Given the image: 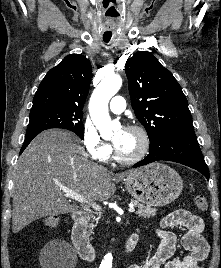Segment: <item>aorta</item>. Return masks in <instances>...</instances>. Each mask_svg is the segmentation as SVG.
I'll return each mask as SVG.
<instances>
[{
	"instance_id": "1",
	"label": "aorta",
	"mask_w": 221,
	"mask_h": 268,
	"mask_svg": "<svg viewBox=\"0 0 221 268\" xmlns=\"http://www.w3.org/2000/svg\"><path fill=\"white\" fill-rule=\"evenodd\" d=\"M122 79L118 75L105 77L93 91L89 102L91 119L103 138L112 135L115 123L111 120L108 112L109 100L120 90ZM111 261V256H107Z\"/></svg>"
}]
</instances>
